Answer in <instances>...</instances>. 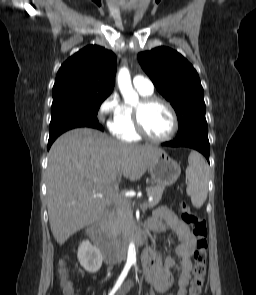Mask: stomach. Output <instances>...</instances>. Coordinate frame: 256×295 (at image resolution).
<instances>
[{"mask_svg":"<svg viewBox=\"0 0 256 295\" xmlns=\"http://www.w3.org/2000/svg\"><path fill=\"white\" fill-rule=\"evenodd\" d=\"M152 179L158 185L170 186L174 184L181 174L180 165L166 152L159 153L149 165Z\"/></svg>","mask_w":256,"mask_h":295,"instance_id":"1","label":"stomach"}]
</instances>
